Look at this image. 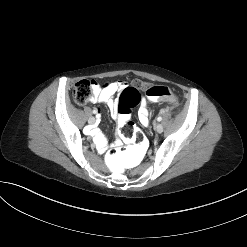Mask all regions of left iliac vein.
Wrapping results in <instances>:
<instances>
[{"label":"left iliac vein","mask_w":247,"mask_h":247,"mask_svg":"<svg viewBox=\"0 0 247 247\" xmlns=\"http://www.w3.org/2000/svg\"><path fill=\"white\" fill-rule=\"evenodd\" d=\"M154 128L158 133L163 132V126L161 124H156Z\"/></svg>","instance_id":"1"}]
</instances>
